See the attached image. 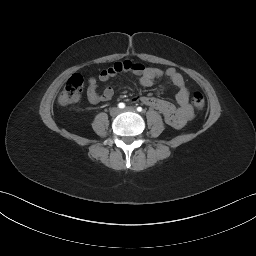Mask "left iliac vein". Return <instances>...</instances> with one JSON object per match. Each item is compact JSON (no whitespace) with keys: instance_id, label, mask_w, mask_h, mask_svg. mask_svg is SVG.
I'll return each mask as SVG.
<instances>
[{"instance_id":"obj_1","label":"left iliac vein","mask_w":256,"mask_h":256,"mask_svg":"<svg viewBox=\"0 0 256 256\" xmlns=\"http://www.w3.org/2000/svg\"><path fill=\"white\" fill-rule=\"evenodd\" d=\"M126 111H128V112H135L136 110H135L134 107H126L125 109L122 110V112H126Z\"/></svg>"}]
</instances>
